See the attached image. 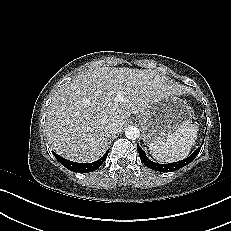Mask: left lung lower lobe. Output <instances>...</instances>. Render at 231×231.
I'll use <instances>...</instances> for the list:
<instances>
[{
	"label": "left lung lower lobe",
	"instance_id": "left-lung-lower-lobe-1",
	"mask_svg": "<svg viewBox=\"0 0 231 231\" xmlns=\"http://www.w3.org/2000/svg\"><path fill=\"white\" fill-rule=\"evenodd\" d=\"M202 145L196 151H194L192 155H190L186 159H183L178 162L170 163V164H157L148 159V157L146 156V154L144 153V151L139 145H137V149L139 152L140 159L148 168L156 170V171H160V172H172L192 162L195 159V157L198 155Z\"/></svg>",
	"mask_w": 231,
	"mask_h": 231
}]
</instances>
